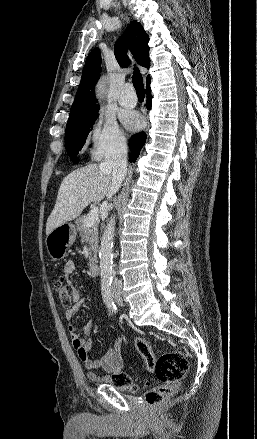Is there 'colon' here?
<instances>
[{"label":"colon","mask_w":257,"mask_h":439,"mask_svg":"<svg viewBox=\"0 0 257 439\" xmlns=\"http://www.w3.org/2000/svg\"><path fill=\"white\" fill-rule=\"evenodd\" d=\"M58 297L65 307H70L74 302V289L63 279H57L54 283ZM136 349L144 359L147 367L155 373L160 385L154 387L145 396V402L149 406H158L168 401L177 389L179 381L188 370L187 358L180 352H165L155 357L149 342L142 337L135 341ZM112 384L115 388L123 391H135L136 385L125 373L113 376Z\"/></svg>","instance_id":"colon-1"}]
</instances>
